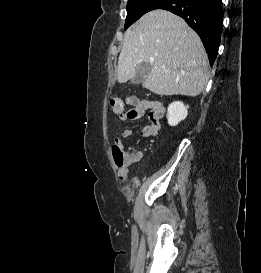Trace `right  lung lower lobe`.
Here are the masks:
<instances>
[{"instance_id":"obj_1","label":"right lung lower lobe","mask_w":261,"mask_h":273,"mask_svg":"<svg viewBox=\"0 0 261 273\" xmlns=\"http://www.w3.org/2000/svg\"><path fill=\"white\" fill-rule=\"evenodd\" d=\"M157 9L168 10L182 17L200 36L210 65H213L222 31V0H163L158 2Z\"/></svg>"}]
</instances>
